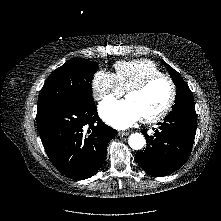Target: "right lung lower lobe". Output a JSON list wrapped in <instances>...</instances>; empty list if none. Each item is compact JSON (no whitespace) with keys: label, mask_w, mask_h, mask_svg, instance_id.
I'll return each instance as SVG.
<instances>
[{"label":"right lung lower lobe","mask_w":221,"mask_h":221,"mask_svg":"<svg viewBox=\"0 0 221 221\" xmlns=\"http://www.w3.org/2000/svg\"><path fill=\"white\" fill-rule=\"evenodd\" d=\"M37 129L53 165L65 176L83 180L101 167L117 131L97 115L91 96L38 106Z\"/></svg>","instance_id":"98d812e1"}]
</instances>
